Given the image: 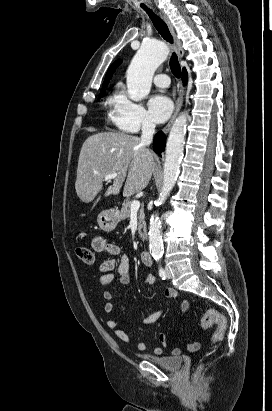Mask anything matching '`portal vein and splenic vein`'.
<instances>
[{"mask_svg": "<svg viewBox=\"0 0 272 411\" xmlns=\"http://www.w3.org/2000/svg\"><path fill=\"white\" fill-rule=\"evenodd\" d=\"M118 176L117 173H111L104 177L105 181L115 179ZM140 208V202L138 200H133L131 203V211L138 210Z\"/></svg>", "mask_w": 272, "mask_h": 411, "instance_id": "portal-vein-and-splenic-vein-1", "label": "portal vein and splenic vein"}]
</instances>
